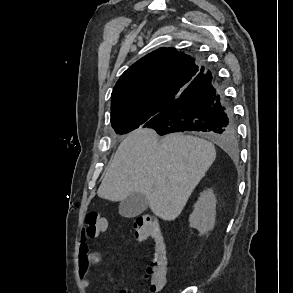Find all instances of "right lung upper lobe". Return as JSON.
I'll list each match as a JSON object with an SVG mask.
<instances>
[{
  "mask_svg": "<svg viewBox=\"0 0 293 293\" xmlns=\"http://www.w3.org/2000/svg\"><path fill=\"white\" fill-rule=\"evenodd\" d=\"M203 71L194 58L173 48H159L122 74L112 92L111 117L139 109L154 111V117L167 110Z\"/></svg>",
  "mask_w": 293,
  "mask_h": 293,
  "instance_id": "right-lung-upper-lobe-1",
  "label": "right lung upper lobe"
}]
</instances>
